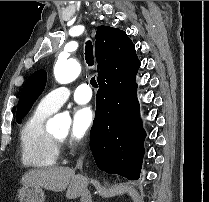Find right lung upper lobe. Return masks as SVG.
<instances>
[{
  "label": "right lung upper lobe",
  "mask_w": 209,
  "mask_h": 202,
  "mask_svg": "<svg viewBox=\"0 0 209 202\" xmlns=\"http://www.w3.org/2000/svg\"><path fill=\"white\" fill-rule=\"evenodd\" d=\"M95 55L100 86L116 88L135 79L140 61L134 44L124 31L99 26L96 31Z\"/></svg>",
  "instance_id": "right-lung-upper-lobe-1"
}]
</instances>
